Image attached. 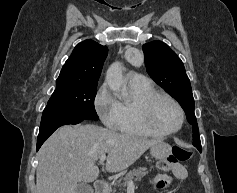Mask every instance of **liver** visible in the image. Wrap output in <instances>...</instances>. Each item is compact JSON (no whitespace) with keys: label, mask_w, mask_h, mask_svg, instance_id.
I'll list each match as a JSON object with an SVG mask.
<instances>
[{"label":"liver","mask_w":237,"mask_h":193,"mask_svg":"<svg viewBox=\"0 0 237 193\" xmlns=\"http://www.w3.org/2000/svg\"><path fill=\"white\" fill-rule=\"evenodd\" d=\"M160 141L117 133L93 124L62 126L38 152L37 193H76L78 182L97 179L99 168L95 163L102 155L108 154V172H120Z\"/></svg>","instance_id":"6515ba94"}]
</instances>
